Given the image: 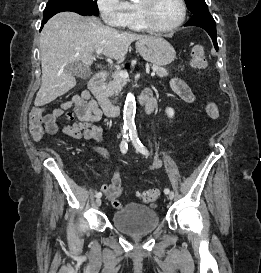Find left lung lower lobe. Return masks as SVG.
Here are the masks:
<instances>
[{"label": "left lung lower lobe", "instance_id": "obj_1", "mask_svg": "<svg viewBox=\"0 0 261 273\" xmlns=\"http://www.w3.org/2000/svg\"><path fill=\"white\" fill-rule=\"evenodd\" d=\"M185 26H198L206 30L212 38L215 49L218 50L216 23L208 9L193 14L191 19L185 24Z\"/></svg>", "mask_w": 261, "mask_h": 273}]
</instances>
